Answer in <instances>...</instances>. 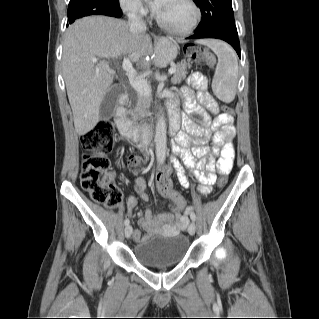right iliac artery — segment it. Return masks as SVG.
Listing matches in <instances>:
<instances>
[{"mask_svg": "<svg viewBox=\"0 0 319 319\" xmlns=\"http://www.w3.org/2000/svg\"><path fill=\"white\" fill-rule=\"evenodd\" d=\"M129 222H130L129 219H125L124 224H125V225H128Z\"/></svg>", "mask_w": 319, "mask_h": 319, "instance_id": "1", "label": "right iliac artery"}]
</instances>
